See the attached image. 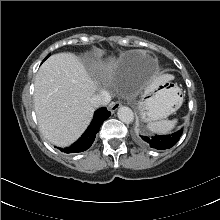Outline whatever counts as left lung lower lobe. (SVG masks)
<instances>
[{
    "label": "left lung lower lobe",
    "mask_w": 220,
    "mask_h": 220,
    "mask_svg": "<svg viewBox=\"0 0 220 220\" xmlns=\"http://www.w3.org/2000/svg\"><path fill=\"white\" fill-rule=\"evenodd\" d=\"M182 131L183 129L179 130L178 132L172 135H156L153 137L145 136L144 134H139L137 138L141 143L150 146L151 148L169 149L178 142L180 136L182 135Z\"/></svg>",
    "instance_id": "0a47b994"
}]
</instances>
